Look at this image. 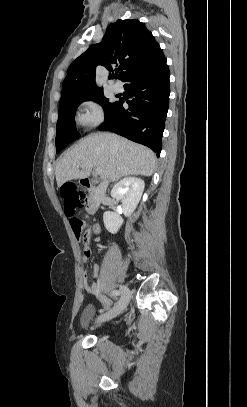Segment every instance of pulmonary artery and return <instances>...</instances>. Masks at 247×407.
Masks as SVG:
<instances>
[{"mask_svg":"<svg viewBox=\"0 0 247 407\" xmlns=\"http://www.w3.org/2000/svg\"><path fill=\"white\" fill-rule=\"evenodd\" d=\"M113 90L116 93H119L122 91V85L120 83H114L113 84Z\"/></svg>","mask_w":247,"mask_h":407,"instance_id":"e3ab8cb5","label":"pulmonary artery"}]
</instances>
